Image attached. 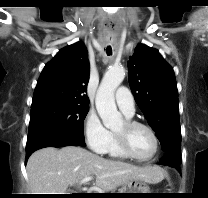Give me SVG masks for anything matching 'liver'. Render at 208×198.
I'll return each mask as SVG.
<instances>
[{
	"mask_svg": "<svg viewBox=\"0 0 208 198\" xmlns=\"http://www.w3.org/2000/svg\"><path fill=\"white\" fill-rule=\"evenodd\" d=\"M26 169L32 194H66L69 185L86 177H95L94 187L103 191H112L132 180L156 183L163 179L155 167L107 160L77 146L37 150L28 159Z\"/></svg>",
	"mask_w": 208,
	"mask_h": 198,
	"instance_id": "obj_1",
	"label": "liver"
}]
</instances>
